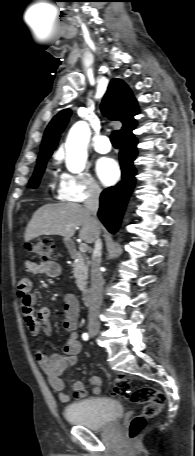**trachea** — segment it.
I'll return each mask as SVG.
<instances>
[{
    "mask_svg": "<svg viewBox=\"0 0 195 456\" xmlns=\"http://www.w3.org/2000/svg\"><path fill=\"white\" fill-rule=\"evenodd\" d=\"M120 138H121V135H120L119 131L116 130V131L112 132V134L110 136V140H111V143L113 144V146H115V147L120 146Z\"/></svg>",
    "mask_w": 195,
    "mask_h": 456,
    "instance_id": "trachea-1",
    "label": "trachea"
}]
</instances>
